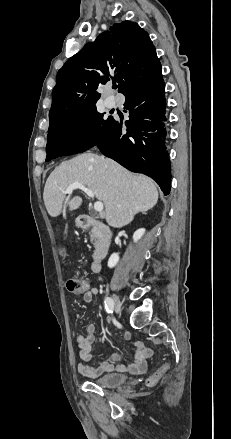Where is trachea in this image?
Listing matches in <instances>:
<instances>
[{
    "instance_id": "3493384b",
    "label": "trachea",
    "mask_w": 231,
    "mask_h": 439,
    "mask_svg": "<svg viewBox=\"0 0 231 439\" xmlns=\"http://www.w3.org/2000/svg\"><path fill=\"white\" fill-rule=\"evenodd\" d=\"M113 89H117V85H113Z\"/></svg>"
}]
</instances>
